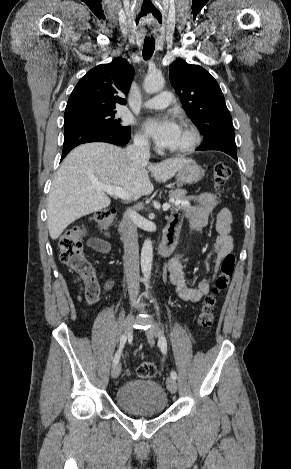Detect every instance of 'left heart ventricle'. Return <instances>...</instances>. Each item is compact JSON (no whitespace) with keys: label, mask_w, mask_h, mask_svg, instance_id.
Here are the masks:
<instances>
[{"label":"left heart ventricle","mask_w":291,"mask_h":469,"mask_svg":"<svg viewBox=\"0 0 291 469\" xmlns=\"http://www.w3.org/2000/svg\"><path fill=\"white\" fill-rule=\"evenodd\" d=\"M190 133L183 127H179L177 137L169 149H178L186 146L190 142Z\"/></svg>","instance_id":"b2bd125f"}]
</instances>
